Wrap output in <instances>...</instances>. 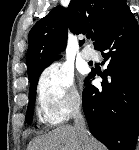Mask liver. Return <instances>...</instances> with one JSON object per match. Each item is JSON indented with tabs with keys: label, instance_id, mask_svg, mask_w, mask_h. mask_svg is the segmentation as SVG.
<instances>
[{
	"label": "liver",
	"instance_id": "obj_1",
	"mask_svg": "<svg viewBox=\"0 0 139 150\" xmlns=\"http://www.w3.org/2000/svg\"><path fill=\"white\" fill-rule=\"evenodd\" d=\"M27 150H104L88 133L80 139L75 127L61 126L32 140Z\"/></svg>",
	"mask_w": 139,
	"mask_h": 150
}]
</instances>
